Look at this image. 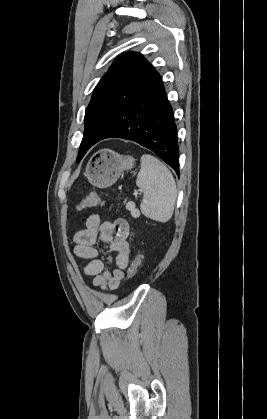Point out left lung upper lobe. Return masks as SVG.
Returning <instances> with one entry per match:
<instances>
[{"label": "left lung upper lobe", "instance_id": "5c2ea615", "mask_svg": "<svg viewBox=\"0 0 267 419\" xmlns=\"http://www.w3.org/2000/svg\"><path fill=\"white\" fill-rule=\"evenodd\" d=\"M157 75L154 67L140 53H124L113 62L96 85L85 111V130L77 162L89 148L90 134L93 137L96 132L109 129V116L115 111L126 110L138 92Z\"/></svg>", "mask_w": 267, "mask_h": 419}]
</instances>
